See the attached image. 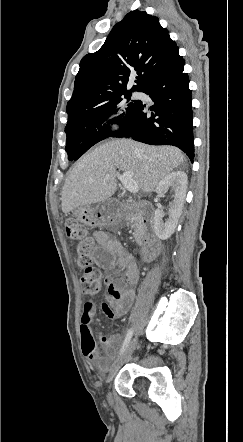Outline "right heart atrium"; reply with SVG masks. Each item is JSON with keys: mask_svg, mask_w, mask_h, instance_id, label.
I'll return each instance as SVG.
<instances>
[{"mask_svg": "<svg viewBox=\"0 0 243 442\" xmlns=\"http://www.w3.org/2000/svg\"><path fill=\"white\" fill-rule=\"evenodd\" d=\"M110 128H111V129H117V128H118V124H117V123H112V124L110 125Z\"/></svg>", "mask_w": 243, "mask_h": 442, "instance_id": "right-heart-atrium-1", "label": "right heart atrium"}]
</instances>
